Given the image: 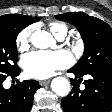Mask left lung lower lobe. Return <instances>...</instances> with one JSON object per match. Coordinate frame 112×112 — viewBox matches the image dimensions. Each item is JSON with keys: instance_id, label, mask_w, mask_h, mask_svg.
<instances>
[{"instance_id": "0a47b994", "label": "left lung lower lobe", "mask_w": 112, "mask_h": 112, "mask_svg": "<svg viewBox=\"0 0 112 112\" xmlns=\"http://www.w3.org/2000/svg\"><path fill=\"white\" fill-rule=\"evenodd\" d=\"M75 79H71L73 88L70 94L61 101L64 112H111L112 111V67L101 68L88 73H79L72 68ZM85 89L79 86L84 75ZM78 79V80H77Z\"/></svg>"}]
</instances>
